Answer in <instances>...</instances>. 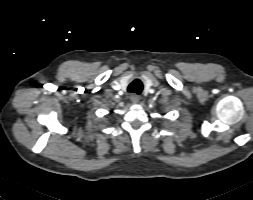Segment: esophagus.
I'll return each instance as SVG.
<instances>
[{"label":"esophagus","instance_id":"obj_1","mask_svg":"<svg viewBox=\"0 0 253 200\" xmlns=\"http://www.w3.org/2000/svg\"><path fill=\"white\" fill-rule=\"evenodd\" d=\"M130 100H131V102H133V103H138L139 100H140V98H139L138 95L132 94V95L130 96Z\"/></svg>","mask_w":253,"mask_h":200}]
</instances>
